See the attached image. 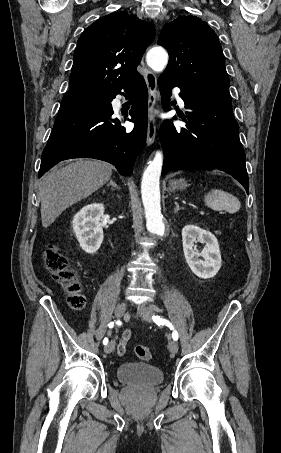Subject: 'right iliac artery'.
I'll list each match as a JSON object with an SVG mask.
<instances>
[{
  "instance_id": "1",
  "label": "right iliac artery",
  "mask_w": 281,
  "mask_h": 453,
  "mask_svg": "<svg viewBox=\"0 0 281 453\" xmlns=\"http://www.w3.org/2000/svg\"><path fill=\"white\" fill-rule=\"evenodd\" d=\"M108 326H109V328H112V327L114 326V322H110V323L108 324ZM107 343H108V339H107V338H104L103 344H104V345H107Z\"/></svg>"
}]
</instances>
